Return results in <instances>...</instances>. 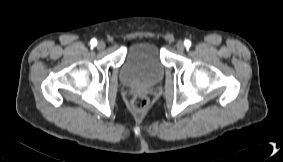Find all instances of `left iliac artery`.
I'll return each mask as SVG.
<instances>
[{
	"label": "left iliac artery",
	"instance_id": "obj_1",
	"mask_svg": "<svg viewBox=\"0 0 283 162\" xmlns=\"http://www.w3.org/2000/svg\"><path fill=\"white\" fill-rule=\"evenodd\" d=\"M184 45L189 48L191 46V41L190 40H185Z\"/></svg>",
	"mask_w": 283,
	"mask_h": 162
}]
</instances>
